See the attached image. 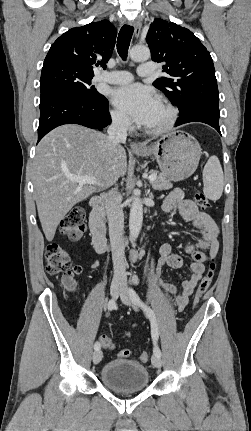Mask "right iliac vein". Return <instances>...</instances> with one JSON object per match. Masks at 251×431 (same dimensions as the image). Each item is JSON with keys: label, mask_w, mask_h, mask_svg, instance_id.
Segmentation results:
<instances>
[{"label": "right iliac vein", "mask_w": 251, "mask_h": 431, "mask_svg": "<svg viewBox=\"0 0 251 431\" xmlns=\"http://www.w3.org/2000/svg\"><path fill=\"white\" fill-rule=\"evenodd\" d=\"M119 292H120V285L118 283H112V285L110 287V294H111L112 298L116 299L118 297ZM102 357H103L102 351L100 349L96 350L93 353L94 364H98L102 360Z\"/></svg>", "instance_id": "63e3f726"}]
</instances>
